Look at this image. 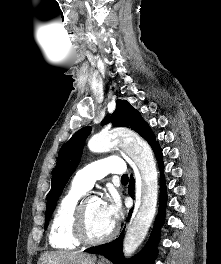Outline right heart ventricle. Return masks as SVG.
<instances>
[{
	"mask_svg": "<svg viewBox=\"0 0 221 264\" xmlns=\"http://www.w3.org/2000/svg\"><path fill=\"white\" fill-rule=\"evenodd\" d=\"M85 192V189L73 182L61 198L54 213L49 233L52 247L73 250L80 246L72 232V218L74 209Z\"/></svg>",
	"mask_w": 221,
	"mask_h": 264,
	"instance_id": "1",
	"label": "right heart ventricle"
}]
</instances>
